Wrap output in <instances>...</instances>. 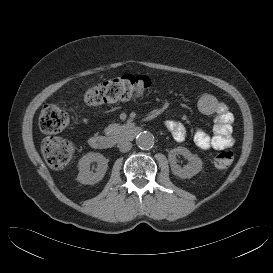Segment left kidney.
Masks as SVG:
<instances>
[{
	"label": "left kidney",
	"instance_id": "5707ae66",
	"mask_svg": "<svg viewBox=\"0 0 273 273\" xmlns=\"http://www.w3.org/2000/svg\"><path fill=\"white\" fill-rule=\"evenodd\" d=\"M182 155L185 158L189 160V164L181 167L177 164L176 156ZM169 161H170V167L174 175L182 178L187 179L191 178L197 173H199L202 169L203 162L196 154H192L188 149L185 147H177L175 149H172L169 152Z\"/></svg>",
	"mask_w": 273,
	"mask_h": 273
}]
</instances>
